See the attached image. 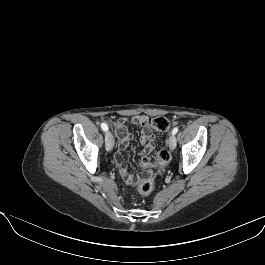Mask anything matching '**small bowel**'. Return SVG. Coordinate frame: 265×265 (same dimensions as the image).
I'll return each instance as SVG.
<instances>
[{
	"mask_svg": "<svg viewBox=\"0 0 265 265\" xmlns=\"http://www.w3.org/2000/svg\"><path fill=\"white\" fill-rule=\"evenodd\" d=\"M145 119V116L140 115L131 119L121 118L115 123V134L119 139L118 151L115 154V163L122 179L126 184H133L135 180L134 177L129 173L123 159V152L133 139V135L128 131V125L134 124L143 126L140 135L141 149L139 153L141 155L149 153L154 147L155 135L148 126L143 124Z\"/></svg>",
	"mask_w": 265,
	"mask_h": 265,
	"instance_id": "small-bowel-1",
	"label": "small bowel"
}]
</instances>
